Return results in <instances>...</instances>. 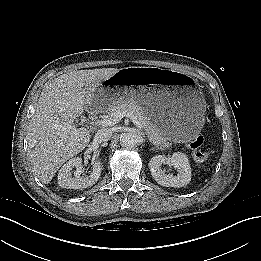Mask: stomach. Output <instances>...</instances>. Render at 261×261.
Returning a JSON list of instances; mask_svg holds the SVG:
<instances>
[{"instance_id":"obj_1","label":"stomach","mask_w":261,"mask_h":261,"mask_svg":"<svg viewBox=\"0 0 261 261\" xmlns=\"http://www.w3.org/2000/svg\"><path fill=\"white\" fill-rule=\"evenodd\" d=\"M129 77L138 78V84L127 81ZM111 79L112 84L95 92L94 108L106 109L116 102L135 101L169 141L188 142L202 128L204 97L189 77L156 67H129L119 70Z\"/></svg>"}]
</instances>
